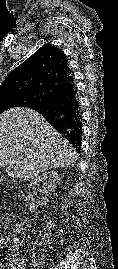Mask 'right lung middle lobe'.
<instances>
[{
  "label": "right lung middle lobe",
  "instance_id": "1",
  "mask_svg": "<svg viewBox=\"0 0 118 269\" xmlns=\"http://www.w3.org/2000/svg\"><path fill=\"white\" fill-rule=\"evenodd\" d=\"M39 103L35 97L26 95H5L0 97V113L13 107H30Z\"/></svg>",
  "mask_w": 118,
  "mask_h": 269
}]
</instances>
